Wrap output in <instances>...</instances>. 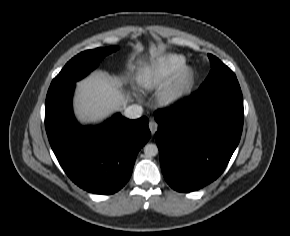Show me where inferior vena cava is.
Here are the masks:
<instances>
[{
	"mask_svg": "<svg viewBox=\"0 0 290 236\" xmlns=\"http://www.w3.org/2000/svg\"><path fill=\"white\" fill-rule=\"evenodd\" d=\"M142 113L143 108L140 105L133 104L125 109L124 116L129 119H137L141 117Z\"/></svg>",
	"mask_w": 290,
	"mask_h": 236,
	"instance_id": "inferior-vena-cava-1",
	"label": "inferior vena cava"
}]
</instances>
